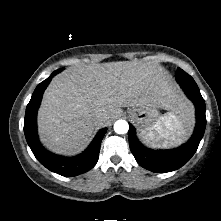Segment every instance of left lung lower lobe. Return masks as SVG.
Instances as JSON below:
<instances>
[{
    "label": "left lung lower lobe",
    "instance_id": "0a47b994",
    "mask_svg": "<svg viewBox=\"0 0 221 221\" xmlns=\"http://www.w3.org/2000/svg\"><path fill=\"white\" fill-rule=\"evenodd\" d=\"M196 108V126L191 139L173 150H151L140 144L134 127L129 124V145L138 164L156 173L171 172L182 167L196 152L206 127L205 102L196 85L180 84Z\"/></svg>",
    "mask_w": 221,
    "mask_h": 221
}]
</instances>
